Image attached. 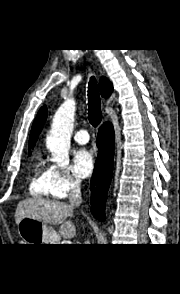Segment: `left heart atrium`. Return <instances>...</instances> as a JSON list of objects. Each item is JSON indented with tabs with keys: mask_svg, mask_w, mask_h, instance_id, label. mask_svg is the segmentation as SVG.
<instances>
[{
	"mask_svg": "<svg viewBox=\"0 0 180 294\" xmlns=\"http://www.w3.org/2000/svg\"><path fill=\"white\" fill-rule=\"evenodd\" d=\"M94 168V157L86 149L78 150L73 159V171L79 178L88 177Z\"/></svg>",
	"mask_w": 180,
	"mask_h": 294,
	"instance_id": "left-heart-atrium-1",
	"label": "left heart atrium"
}]
</instances>
